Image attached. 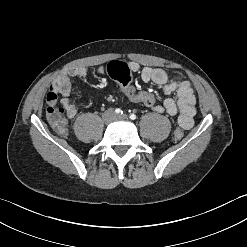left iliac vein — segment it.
<instances>
[{"label":"left iliac vein","instance_id":"4c4485c4","mask_svg":"<svg viewBox=\"0 0 247 247\" xmlns=\"http://www.w3.org/2000/svg\"><path fill=\"white\" fill-rule=\"evenodd\" d=\"M116 118L120 119V120H125V119H127V116L125 114L124 115H118Z\"/></svg>","mask_w":247,"mask_h":247}]
</instances>
